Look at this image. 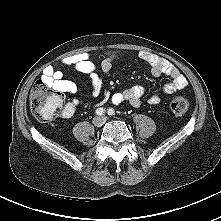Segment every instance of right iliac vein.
I'll list each match as a JSON object with an SVG mask.
<instances>
[{
  "mask_svg": "<svg viewBox=\"0 0 221 221\" xmlns=\"http://www.w3.org/2000/svg\"><path fill=\"white\" fill-rule=\"evenodd\" d=\"M104 123V119L102 117H95L93 119V124L96 126V127H100L102 124Z\"/></svg>",
  "mask_w": 221,
  "mask_h": 221,
  "instance_id": "right-iliac-vein-1",
  "label": "right iliac vein"
}]
</instances>
